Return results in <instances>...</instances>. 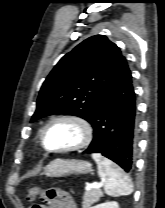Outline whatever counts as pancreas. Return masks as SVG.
<instances>
[{"label":"pancreas","instance_id":"pancreas-1","mask_svg":"<svg viewBox=\"0 0 165 208\" xmlns=\"http://www.w3.org/2000/svg\"><path fill=\"white\" fill-rule=\"evenodd\" d=\"M102 192L99 189H91L83 196L82 208H90V206L99 201Z\"/></svg>","mask_w":165,"mask_h":208}]
</instances>
